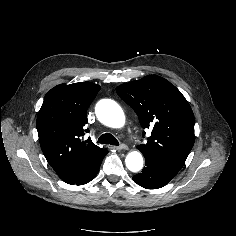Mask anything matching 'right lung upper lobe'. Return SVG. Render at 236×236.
Returning <instances> with one entry per match:
<instances>
[{"label": "right lung upper lobe", "mask_w": 236, "mask_h": 236, "mask_svg": "<svg viewBox=\"0 0 236 236\" xmlns=\"http://www.w3.org/2000/svg\"><path fill=\"white\" fill-rule=\"evenodd\" d=\"M100 86L91 82L60 84L46 95L38 113L36 126L41 149L48 163L63 180L75 179L108 153L90 138L86 110Z\"/></svg>", "instance_id": "right-lung-upper-lobe-1"}]
</instances>
